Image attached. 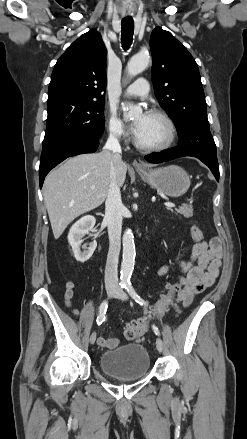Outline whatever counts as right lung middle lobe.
<instances>
[{"instance_id": "1", "label": "right lung middle lobe", "mask_w": 247, "mask_h": 439, "mask_svg": "<svg viewBox=\"0 0 247 439\" xmlns=\"http://www.w3.org/2000/svg\"><path fill=\"white\" fill-rule=\"evenodd\" d=\"M104 101L66 100L48 106L42 148L83 138H99L104 131Z\"/></svg>"}]
</instances>
